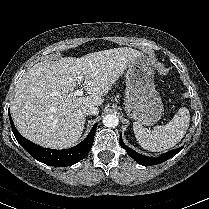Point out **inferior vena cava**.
Returning <instances> with one entry per match:
<instances>
[{
    "mask_svg": "<svg viewBox=\"0 0 209 209\" xmlns=\"http://www.w3.org/2000/svg\"><path fill=\"white\" fill-rule=\"evenodd\" d=\"M83 113L87 116L88 115H98L99 110H98V107L95 105H86L83 108Z\"/></svg>",
    "mask_w": 209,
    "mask_h": 209,
    "instance_id": "inferior-vena-cava-1",
    "label": "inferior vena cava"
}]
</instances>
